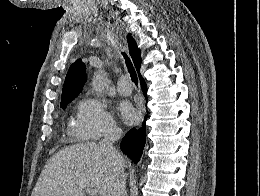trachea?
Listing matches in <instances>:
<instances>
[{
  "label": "trachea",
  "mask_w": 260,
  "mask_h": 196,
  "mask_svg": "<svg viewBox=\"0 0 260 196\" xmlns=\"http://www.w3.org/2000/svg\"><path fill=\"white\" fill-rule=\"evenodd\" d=\"M122 55H123V57H124V59H125L126 66H127L128 71H129V73H130V76H131V80H132V81L135 83V85L137 86V84H138V77H137L136 70H135V68H134V66H133V64H132V62H131L129 56H128L126 53H124V52H122Z\"/></svg>",
  "instance_id": "1"
}]
</instances>
